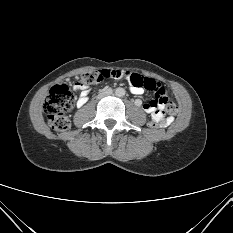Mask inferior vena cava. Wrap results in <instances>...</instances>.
<instances>
[{
	"label": "inferior vena cava",
	"mask_w": 233,
	"mask_h": 233,
	"mask_svg": "<svg viewBox=\"0 0 233 233\" xmlns=\"http://www.w3.org/2000/svg\"><path fill=\"white\" fill-rule=\"evenodd\" d=\"M112 95H113V90H112L111 88H106V89H105V92H101V93L99 94V97H100L101 99H106L107 96H112Z\"/></svg>",
	"instance_id": "1"
}]
</instances>
